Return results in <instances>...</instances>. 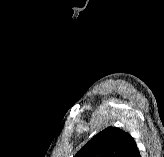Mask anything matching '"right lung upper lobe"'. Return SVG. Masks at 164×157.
Wrapping results in <instances>:
<instances>
[{"label":"right lung upper lobe","instance_id":"cb5924a9","mask_svg":"<svg viewBox=\"0 0 164 157\" xmlns=\"http://www.w3.org/2000/svg\"><path fill=\"white\" fill-rule=\"evenodd\" d=\"M137 145L125 131L107 127L95 135L74 157H130Z\"/></svg>","mask_w":164,"mask_h":157}]
</instances>
